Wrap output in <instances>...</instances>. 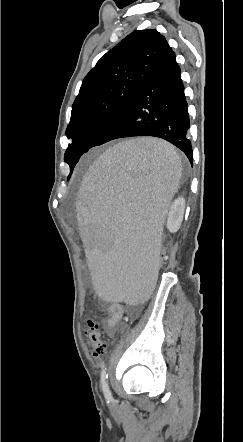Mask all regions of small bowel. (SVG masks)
Segmentation results:
<instances>
[{
  "instance_id": "1",
  "label": "small bowel",
  "mask_w": 243,
  "mask_h": 442,
  "mask_svg": "<svg viewBox=\"0 0 243 442\" xmlns=\"http://www.w3.org/2000/svg\"><path fill=\"white\" fill-rule=\"evenodd\" d=\"M123 307L120 305H112L108 309V319L106 321V329L110 335H113L119 328V321L123 316Z\"/></svg>"
}]
</instances>
